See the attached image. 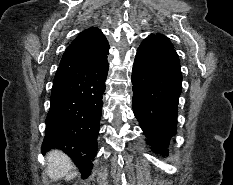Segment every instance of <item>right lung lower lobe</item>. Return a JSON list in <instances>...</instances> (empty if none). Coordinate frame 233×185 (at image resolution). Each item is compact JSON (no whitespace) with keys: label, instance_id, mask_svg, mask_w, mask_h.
<instances>
[{"label":"right lung lower lobe","instance_id":"right-lung-lower-lobe-1","mask_svg":"<svg viewBox=\"0 0 233 185\" xmlns=\"http://www.w3.org/2000/svg\"><path fill=\"white\" fill-rule=\"evenodd\" d=\"M108 61L59 66L51 92L42 152L59 148L87 178L97 154Z\"/></svg>","mask_w":233,"mask_h":185}]
</instances>
